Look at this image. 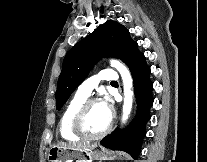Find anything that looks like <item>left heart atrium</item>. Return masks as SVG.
<instances>
[{
  "label": "left heart atrium",
  "instance_id": "left-heart-atrium-1",
  "mask_svg": "<svg viewBox=\"0 0 207 162\" xmlns=\"http://www.w3.org/2000/svg\"><path fill=\"white\" fill-rule=\"evenodd\" d=\"M102 106L104 107V109L106 110V112L109 114V116H112V105L111 102L108 98H105L102 102H101Z\"/></svg>",
  "mask_w": 207,
  "mask_h": 162
}]
</instances>
